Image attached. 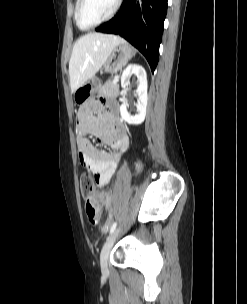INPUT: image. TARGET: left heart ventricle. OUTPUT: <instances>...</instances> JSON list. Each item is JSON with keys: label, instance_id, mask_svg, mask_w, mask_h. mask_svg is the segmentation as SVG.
I'll return each instance as SVG.
<instances>
[{"label": "left heart ventricle", "instance_id": "1", "mask_svg": "<svg viewBox=\"0 0 247 304\" xmlns=\"http://www.w3.org/2000/svg\"><path fill=\"white\" fill-rule=\"evenodd\" d=\"M117 0H85L81 11L84 26H91L107 17L116 5Z\"/></svg>", "mask_w": 247, "mask_h": 304}]
</instances>
